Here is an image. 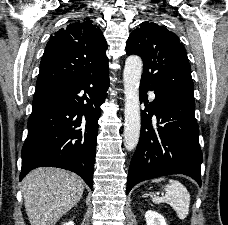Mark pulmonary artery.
<instances>
[{
  "label": "pulmonary artery",
  "instance_id": "e3ab8cb5",
  "mask_svg": "<svg viewBox=\"0 0 228 225\" xmlns=\"http://www.w3.org/2000/svg\"><path fill=\"white\" fill-rule=\"evenodd\" d=\"M149 99L150 101H153L155 99V94L153 91H149Z\"/></svg>",
  "mask_w": 228,
  "mask_h": 225
}]
</instances>
